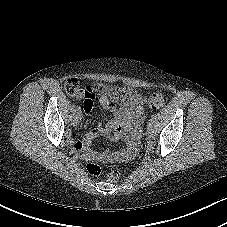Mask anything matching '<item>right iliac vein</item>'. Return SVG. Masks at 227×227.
I'll list each match as a JSON object with an SVG mask.
<instances>
[{
  "mask_svg": "<svg viewBox=\"0 0 227 227\" xmlns=\"http://www.w3.org/2000/svg\"><path fill=\"white\" fill-rule=\"evenodd\" d=\"M80 120H81V114L77 113L72 120V125L77 126L79 124Z\"/></svg>",
  "mask_w": 227,
  "mask_h": 227,
  "instance_id": "63e3f726",
  "label": "right iliac vein"
}]
</instances>
